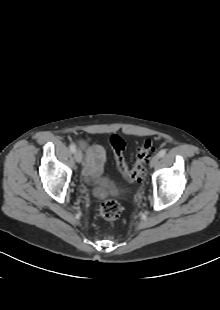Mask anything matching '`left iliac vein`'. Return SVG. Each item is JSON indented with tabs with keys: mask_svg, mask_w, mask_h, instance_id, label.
I'll list each match as a JSON object with an SVG mask.
<instances>
[{
	"mask_svg": "<svg viewBox=\"0 0 220 310\" xmlns=\"http://www.w3.org/2000/svg\"><path fill=\"white\" fill-rule=\"evenodd\" d=\"M159 159H160L159 155H154L150 160V167L151 168L156 167L157 164L159 163Z\"/></svg>",
	"mask_w": 220,
	"mask_h": 310,
	"instance_id": "1",
	"label": "left iliac vein"
}]
</instances>
